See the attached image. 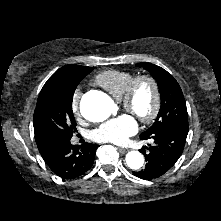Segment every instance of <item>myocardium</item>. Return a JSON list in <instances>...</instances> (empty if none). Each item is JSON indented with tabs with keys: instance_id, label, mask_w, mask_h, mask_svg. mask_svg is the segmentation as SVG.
Returning a JSON list of instances; mask_svg holds the SVG:
<instances>
[{
	"instance_id": "f54148a6",
	"label": "myocardium",
	"mask_w": 221,
	"mask_h": 221,
	"mask_svg": "<svg viewBox=\"0 0 221 221\" xmlns=\"http://www.w3.org/2000/svg\"><path fill=\"white\" fill-rule=\"evenodd\" d=\"M143 82L149 84L152 89L153 105H152L151 111L148 114H146V115L134 114V115L142 123L148 124V123L153 122L157 118V116L160 112V108H161V92H160L158 82L154 77H152L151 75H147V74L134 77L127 85V87H126V89L120 99V102H121L124 109L133 113L132 112L133 97H134L137 86Z\"/></svg>"
}]
</instances>
